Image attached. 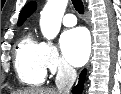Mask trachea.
I'll return each mask as SVG.
<instances>
[{
  "label": "trachea",
  "mask_w": 121,
  "mask_h": 94,
  "mask_svg": "<svg viewBox=\"0 0 121 94\" xmlns=\"http://www.w3.org/2000/svg\"><path fill=\"white\" fill-rule=\"evenodd\" d=\"M73 6L79 14L84 13V6L82 0H72Z\"/></svg>",
  "instance_id": "trachea-1"
}]
</instances>
